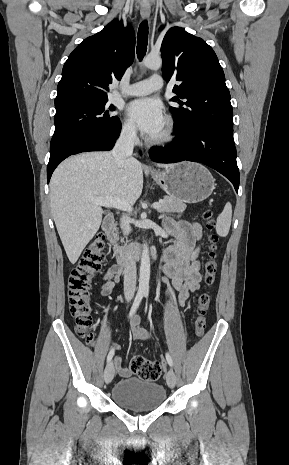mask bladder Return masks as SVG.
<instances>
[{"instance_id": "31cf9c89", "label": "bladder", "mask_w": 289, "mask_h": 465, "mask_svg": "<svg viewBox=\"0 0 289 465\" xmlns=\"http://www.w3.org/2000/svg\"><path fill=\"white\" fill-rule=\"evenodd\" d=\"M111 397L117 405L126 409L153 410L165 401L166 390L161 384L131 377L117 381Z\"/></svg>"}]
</instances>
